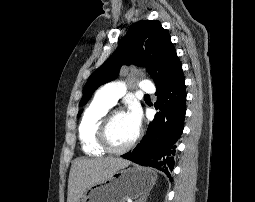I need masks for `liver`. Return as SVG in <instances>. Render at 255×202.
I'll return each mask as SVG.
<instances>
[{
  "mask_svg": "<svg viewBox=\"0 0 255 202\" xmlns=\"http://www.w3.org/2000/svg\"><path fill=\"white\" fill-rule=\"evenodd\" d=\"M129 164V161L115 157L76 159L69 173L67 202H78L86 189Z\"/></svg>",
  "mask_w": 255,
  "mask_h": 202,
  "instance_id": "liver-1",
  "label": "liver"
}]
</instances>
